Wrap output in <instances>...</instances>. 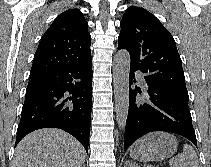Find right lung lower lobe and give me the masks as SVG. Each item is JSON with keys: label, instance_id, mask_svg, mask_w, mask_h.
I'll list each match as a JSON object with an SVG mask.
<instances>
[{"label": "right lung lower lobe", "instance_id": "obj_1", "mask_svg": "<svg viewBox=\"0 0 211 167\" xmlns=\"http://www.w3.org/2000/svg\"><path fill=\"white\" fill-rule=\"evenodd\" d=\"M91 101V58L31 78L15 145L34 130L59 128L73 135L88 152Z\"/></svg>", "mask_w": 211, "mask_h": 167}]
</instances>
